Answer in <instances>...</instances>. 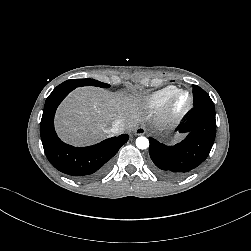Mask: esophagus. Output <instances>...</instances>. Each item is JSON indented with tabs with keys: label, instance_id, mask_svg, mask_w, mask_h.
I'll use <instances>...</instances> for the list:
<instances>
[{
	"label": "esophagus",
	"instance_id": "34e87169",
	"mask_svg": "<svg viewBox=\"0 0 251 251\" xmlns=\"http://www.w3.org/2000/svg\"><path fill=\"white\" fill-rule=\"evenodd\" d=\"M146 132L144 127H136L134 130L135 135H144Z\"/></svg>",
	"mask_w": 251,
	"mask_h": 251
}]
</instances>
